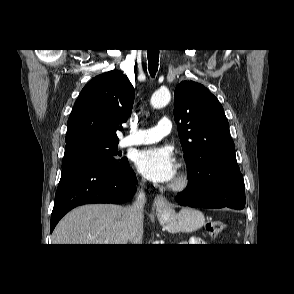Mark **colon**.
<instances>
[{"label": "colon", "instance_id": "colon-1", "mask_svg": "<svg viewBox=\"0 0 294 294\" xmlns=\"http://www.w3.org/2000/svg\"><path fill=\"white\" fill-rule=\"evenodd\" d=\"M225 228L221 221L212 220L206 224V231L211 238H216Z\"/></svg>", "mask_w": 294, "mask_h": 294}]
</instances>
